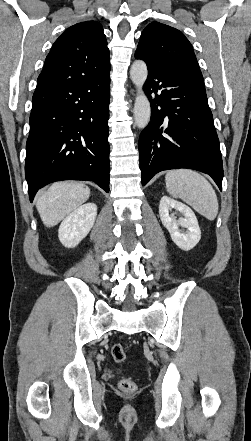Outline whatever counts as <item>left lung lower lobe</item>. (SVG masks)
<instances>
[{
    "mask_svg": "<svg viewBox=\"0 0 251 441\" xmlns=\"http://www.w3.org/2000/svg\"><path fill=\"white\" fill-rule=\"evenodd\" d=\"M143 89L151 121L139 138L142 185L160 171L188 168L209 174L221 190L222 157L203 79L148 67Z\"/></svg>",
    "mask_w": 251,
    "mask_h": 441,
    "instance_id": "obj_1",
    "label": "left lung lower lobe"
}]
</instances>
